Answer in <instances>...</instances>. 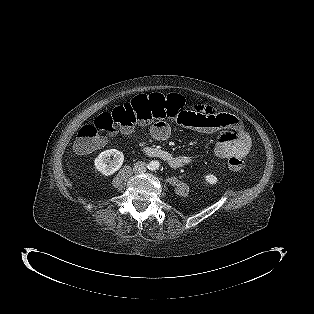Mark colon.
I'll use <instances>...</instances> for the list:
<instances>
[{
    "instance_id": "colon-1",
    "label": "colon",
    "mask_w": 314,
    "mask_h": 314,
    "mask_svg": "<svg viewBox=\"0 0 314 314\" xmlns=\"http://www.w3.org/2000/svg\"><path fill=\"white\" fill-rule=\"evenodd\" d=\"M186 108L181 95L152 93L139 95L130 102L114 108L111 112L99 114L92 124H86L78 131L73 149L84 155L100 149L104 145L103 134H113L118 130L129 131L136 125H146L161 119L175 120L176 114ZM229 167L240 170L244 163L239 158H231Z\"/></svg>"
}]
</instances>
